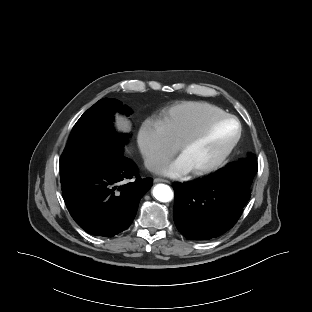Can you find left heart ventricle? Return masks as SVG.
<instances>
[{
    "instance_id": "1",
    "label": "left heart ventricle",
    "mask_w": 312,
    "mask_h": 312,
    "mask_svg": "<svg viewBox=\"0 0 312 312\" xmlns=\"http://www.w3.org/2000/svg\"><path fill=\"white\" fill-rule=\"evenodd\" d=\"M236 132L237 125L234 121H222L213 126L199 141L188 146L181 155L191 169L206 165L228 146Z\"/></svg>"
}]
</instances>
